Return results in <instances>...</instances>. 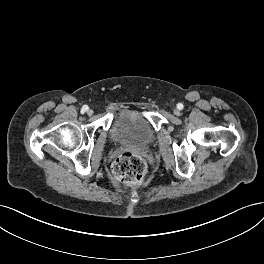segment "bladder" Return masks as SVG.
Segmentation results:
<instances>
[{"label":"bladder","instance_id":"31cf9c89","mask_svg":"<svg viewBox=\"0 0 264 264\" xmlns=\"http://www.w3.org/2000/svg\"><path fill=\"white\" fill-rule=\"evenodd\" d=\"M110 133L114 143L136 149H146L156 139L149 117L132 110H123L117 114Z\"/></svg>","mask_w":264,"mask_h":264}]
</instances>
